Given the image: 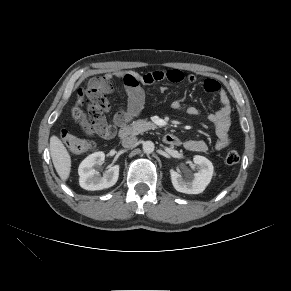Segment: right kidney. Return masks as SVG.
Here are the masks:
<instances>
[{
	"label": "right kidney",
	"mask_w": 291,
	"mask_h": 291,
	"mask_svg": "<svg viewBox=\"0 0 291 291\" xmlns=\"http://www.w3.org/2000/svg\"><path fill=\"white\" fill-rule=\"evenodd\" d=\"M105 154L103 152H95L86 157L79 165V183L86 190H101L109 188L118 180L119 165L110 167L103 176H100L95 170V166L104 161Z\"/></svg>",
	"instance_id": "1"
}]
</instances>
